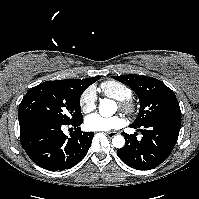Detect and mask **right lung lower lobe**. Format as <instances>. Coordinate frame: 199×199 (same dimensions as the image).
I'll return each mask as SVG.
<instances>
[{"mask_svg":"<svg viewBox=\"0 0 199 199\" xmlns=\"http://www.w3.org/2000/svg\"><path fill=\"white\" fill-rule=\"evenodd\" d=\"M82 121L63 124L43 118L19 120L22 147L30 159L44 169H69L84 158L94 133L77 130L67 137L61 128L63 125L78 127Z\"/></svg>","mask_w":199,"mask_h":199,"instance_id":"obj_1","label":"right lung lower lobe"}]
</instances>
